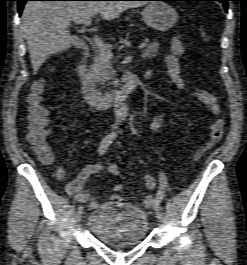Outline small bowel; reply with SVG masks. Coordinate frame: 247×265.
I'll use <instances>...</instances> for the list:
<instances>
[{
  "label": "small bowel",
  "instance_id": "1",
  "mask_svg": "<svg viewBox=\"0 0 247 265\" xmlns=\"http://www.w3.org/2000/svg\"><path fill=\"white\" fill-rule=\"evenodd\" d=\"M210 109L214 115H218L220 112V106L218 102L216 104H213L210 106ZM165 121L164 114L162 112L158 113L152 123H151V129L153 131H157L159 128L162 127L163 123ZM103 171V167L100 164H90L86 167H84L79 174L70 182H68L65 185V191L66 193L72 197L74 200L80 203H85L91 200H94L89 192V190L85 189V184L88 178L92 175L99 174ZM155 180L150 175L144 176V187L147 190H153L155 188ZM123 189V186L121 184H115L112 187V195L111 199L113 201H123L124 199L120 195L121 190ZM154 202V197L152 195H146L143 200V206L146 208L152 207Z\"/></svg>",
  "mask_w": 247,
  "mask_h": 265
}]
</instances>
